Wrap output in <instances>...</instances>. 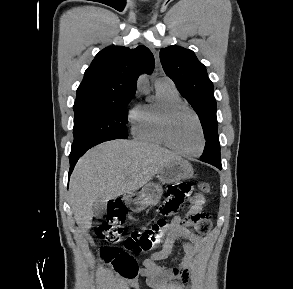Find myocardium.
Returning <instances> with one entry per match:
<instances>
[{"mask_svg": "<svg viewBox=\"0 0 293 289\" xmlns=\"http://www.w3.org/2000/svg\"><path fill=\"white\" fill-rule=\"evenodd\" d=\"M180 111H188L193 116V118L195 119V121L197 123L199 133H200L201 143H200V147H199L198 151L195 153H187V152L180 150L174 144V142L172 140L171 123H172V120L175 117V115L177 113H179ZM161 131H162V135H163V138H164L166 145L171 150H173L174 152H176L177 154H179L183 157L196 158V157H199L200 155H202V153L204 152L205 145H206V138H205V133H204V129H203L201 120H200L199 116L197 115V113L191 107H189L188 105H186L184 103L172 104L163 110L162 119H161Z\"/></svg>", "mask_w": 293, "mask_h": 289, "instance_id": "1", "label": "myocardium"}]
</instances>
